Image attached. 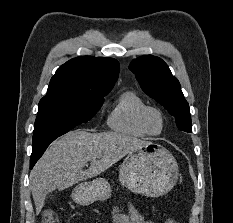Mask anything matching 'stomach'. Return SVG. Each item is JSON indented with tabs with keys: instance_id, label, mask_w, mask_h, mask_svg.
<instances>
[{
	"instance_id": "0dacf381",
	"label": "stomach",
	"mask_w": 233,
	"mask_h": 223,
	"mask_svg": "<svg viewBox=\"0 0 233 223\" xmlns=\"http://www.w3.org/2000/svg\"><path fill=\"white\" fill-rule=\"evenodd\" d=\"M179 175L178 165L172 153L153 141H144L127 153L119 165L121 185L147 197H159L172 189ZM112 195V187L104 177L83 181L74 187L71 197L79 205L105 201Z\"/></svg>"
}]
</instances>
